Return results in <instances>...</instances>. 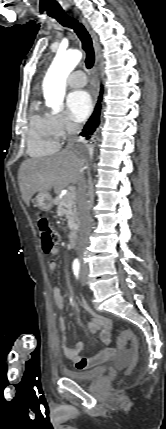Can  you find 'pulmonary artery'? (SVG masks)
<instances>
[{"mask_svg": "<svg viewBox=\"0 0 166 429\" xmlns=\"http://www.w3.org/2000/svg\"><path fill=\"white\" fill-rule=\"evenodd\" d=\"M87 79L83 71L77 70L72 72L68 77V84L71 87H82L86 84Z\"/></svg>", "mask_w": 166, "mask_h": 429, "instance_id": "obj_1", "label": "pulmonary artery"}]
</instances>
